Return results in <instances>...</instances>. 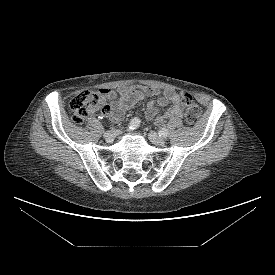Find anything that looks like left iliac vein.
<instances>
[{"label": "left iliac vein", "instance_id": "4c4485c4", "mask_svg": "<svg viewBox=\"0 0 275 275\" xmlns=\"http://www.w3.org/2000/svg\"><path fill=\"white\" fill-rule=\"evenodd\" d=\"M148 138L150 139V141L157 145V146H162L165 144V140L159 136L157 133H155L154 131H150L148 134Z\"/></svg>", "mask_w": 275, "mask_h": 275}]
</instances>
